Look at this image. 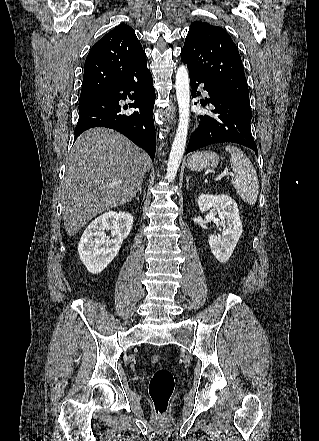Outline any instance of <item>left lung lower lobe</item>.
<instances>
[{"mask_svg": "<svg viewBox=\"0 0 319 441\" xmlns=\"http://www.w3.org/2000/svg\"><path fill=\"white\" fill-rule=\"evenodd\" d=\"M192 97H196L199 83H204V90L209 93L203 106L211 104L214 115H201L197 130L191 135L186 154L199 148L224 142L241 144L257 154V146L251 134V108L243 105L228 95L220 86L206 81L200 75L189 71ZM197 94V95H196ZM196 104V103H195Z\"/></svg>", "mask_w": 319, "mask_h": 441, "instance_id": "left-lung-lower-lobe-1", "label": "left lung lower lobe"}]
</instances>
